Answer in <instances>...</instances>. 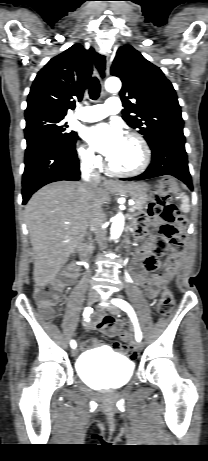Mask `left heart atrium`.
<instances>
[{
  "label": "left heart atrium",
  "mask_w": 208,
  "mask_h": 461,
  "mask_svg": "<svg viewBox=\"0 0 208 461\" xmlns=\"http://www.w3.org/2000/svg\"><path fill=\"white\" fill-rule=\"evenodd\" d=\"M86 138L94 149L109 159L118 152L125 139L119 127L105 123L92 127Z\"/></svg>",
  "instance_id": "39dd6f15"
}]
</instances>
